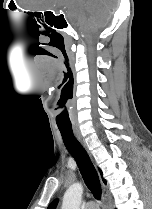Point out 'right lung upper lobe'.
I'll return each instance as SVG.
<instances>
[{
  "label": "right lung upper lobe",
  "instance_id": "1",
  "mask_svg": "<svg viewBox=\"0 0 152 209\" xmlns=\"http://www.w3.org/2000/svg\"><path fill=\"white\" fill-rule=\"evenodd\" d=\"M103 181H104V183L106 182L105 180H103ZM57 203H58V200L56 199L48 206L47 209H55L57 206Z\"/></svg>",
  "mask_w": 152,
  "mask_h": 209
}]
</instances>
